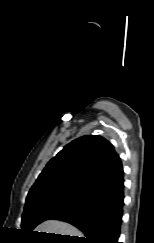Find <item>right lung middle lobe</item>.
Masks as SVG:
<instances>
[{
	"label": "right lung middle lobe",
	"instance_id": "dd1d6c3e",
	"mask_svg": "<svg viewBox=\"0 0 154 243\" xmlns=\"http://www.w3.org/2000/svg\"><path fill=\"white\" fill-rule=\"evenodd\" d=\"M85 201V199L64 195H49L27 201L22 215V232L31 234L41 222L66 209L75 208Z\"/></svg>",
	"mask_w": 154,
	"mask_h": 243
}]
</instances>
